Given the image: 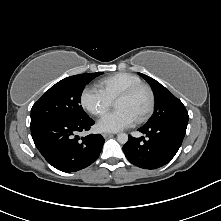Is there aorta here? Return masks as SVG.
<instances>
[{
    "instance_id": "1",
    "label": "aorta",
    "mask_w": 221,
    "mask_h": 221,
    "mask_svg": "<svg viewBox=\"0 0 221 221\" xmlns=\"http://www.w3.org/2000/svg\"><path fill=\"white\" fill-rule=\"evenodd\" d=\"M117 140L120 144H125L128 141V135L126 133H119L117 135Z\"/></svg>"
}]
</instances>
